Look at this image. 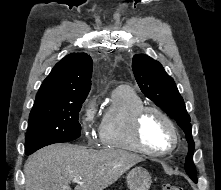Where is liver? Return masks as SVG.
Here are the masks:
<instances>
[{"label": "liver", "instance_id": "liver-1", "mask_svg": "<svg viewBox=\"0 0 221 190\" xmlns=\"http://www.w3.org/2000/svg\"><path fill=\"white\" fill-rule=\"evenodd\" d=\"M137 154L122 149H87L79 145L54 144L32 154L24 165L25 190H104L128 169L142 162Z\"/></svg>", "mask_w": 221, "mask_h": 190}]
</instances>
